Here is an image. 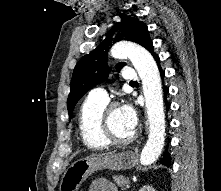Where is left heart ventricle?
Segmentation results:
<instances>
[{
    "label": "left heart ventricle",
    "mask_w": 221,
    "mask_h": 191,
    "mask_svg": "<svg viewBox=\"0 0 221 191\" xmlns=\"http://www.w3.org/2000/svg\"><path fill=\"white\" fill-rule=\"evenodd\" d=\"M110 123L114 132L120 137H129L133 133L125 126L120 109H116L112 113Z\"/></svg>",
    "instance_id": "1"
}]
</instances>
